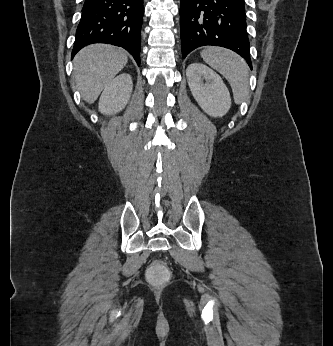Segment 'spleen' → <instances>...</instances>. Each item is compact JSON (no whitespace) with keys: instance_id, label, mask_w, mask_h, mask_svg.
I'll return each mask as SVG.
<instances>
[{"instance_id":"obj_1","label":"spleen","mask_w":333,"mask_h":346,"mask_svg":"<svg viewBox=\"0 0 333 346\" xmlns=\"http://www.w3.org/2000/svg\"><path fill=\"white\" fill-rule=\"evenodd\" d=\"M201 56L208 65L228 80L236 103H240L248 96V66L240 56L220 47H208L201 52Z\"/></svg>"}]
</instances>
